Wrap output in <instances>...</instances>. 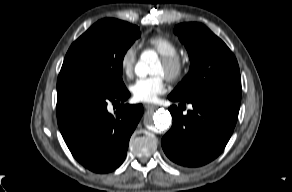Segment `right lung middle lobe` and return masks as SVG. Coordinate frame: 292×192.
<instances>
[{
  "instance_id": "obj_1",
  "label": "right lung middle lobe",
  "mask_w": 292,
  "mask_h": 192,
  "mask_svg": "<svg viewBox=\"0 0 292 192\" xmlns=\"http://www.w3.org/2000/svg\"><path fill=\"white\" fill-rule=\"evenodd\" d=\"M140 35L139 28L127 22L113 18L98 21L69 48L57 86L73 83L104 92L123 90V57Z\"/></svg>"
}]
</instances>
